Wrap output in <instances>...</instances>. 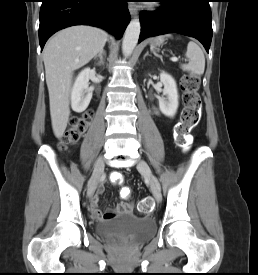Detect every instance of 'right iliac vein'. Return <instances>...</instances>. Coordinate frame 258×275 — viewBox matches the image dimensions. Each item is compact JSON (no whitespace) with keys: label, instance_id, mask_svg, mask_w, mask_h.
Here are the masks:
<instances>
[{"label":"right iliac vein","instance_id":"63e3f726","mask_svg":"<svg viewBox=\"0 0 258 275\" xmlns=\"http://www.w3.org/2000/svg\"><path fill=\"white\" fill-rule=\"evenodd\" d=\"M104 169V159L102 157L98 158L96 163H95V167L91 176V179L89 181V185H88V191H87V195L90 197L95 190V187L98 183V179L100 177V175L102 174Z\"/></svg>","mask_w":258,"mask_h":275}]
</instances>
